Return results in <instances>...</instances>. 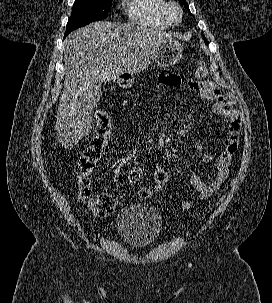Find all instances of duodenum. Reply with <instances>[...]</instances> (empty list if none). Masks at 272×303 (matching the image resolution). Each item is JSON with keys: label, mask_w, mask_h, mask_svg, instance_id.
Listing matches in <instances>:
<instances>
[{"label": "duodenum", "mask_w": 272, "mask_h": 303, "mask_svg": "<svg viewBox=\"0 0 272 303\" xmlns=\"http://www.w3.org/2000/svg\"><path fill=\"white\" fill-rule=\"evenodd\" d=\"M128 77L126 75H122L117 79V82L122 84L125 83L127 81Z\"/></svg>", "instance_id": "duodenum-1"}]
</instances>
